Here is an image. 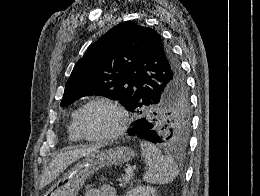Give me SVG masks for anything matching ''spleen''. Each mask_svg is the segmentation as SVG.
I'll list each match as a JSON object with an SVG mask.
<instances>
[{
	"label": "spleen",
	"mask_w": 260,
	"mask_h": 196,
	"mask_svg": "<svg viewBox=\"0 0 260 196\" xmlns=\"http://www.w3.org/2000/svg\"><path fill=\"white\" fill-rule=\"evenodd\" d=\"M141 152L145 158L147 172L143 176L147 184H169L178 176V166L169 156H163L161 150L150 144L141 142Z\"/></svg>",
	"instance_id": "3e777b00"
}]
</instances>
